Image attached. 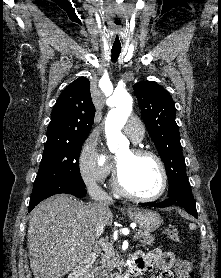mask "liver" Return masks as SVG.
Wrapping results in <instances>:
<instances>
[{
	"label": "liver",
	"mask_w": 221,
	"mask_h": 278,
	"mask_svg": "<svg viewBox=\"0 0 221 278\" xmlns=\"http://www.w3.org/2000/svg\"><path fill=\"white\" fill-rule=\"evenodd\" d=\"M111 226L108 204L87 205L68 195L53 196L33 209L28 227L30 266L35 278H62L91 253L98 221Z\"/></svg>",
	"instance_id": "obj_1"
}]
</instances>
